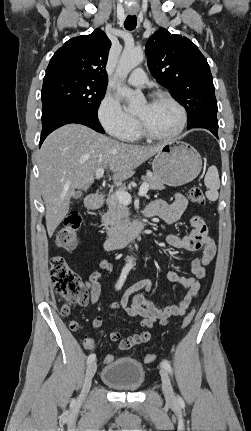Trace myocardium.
<instances>
[{
  "instance_id": "myocardium-1",
  "label": "myocardium",
  "mask_w": 251,
  "mask_h": 431,
  "mask_svg": "<svg viewBox=\"0 0 251 431\" xmlns=\"http://www.w3.org/2000/svg\"><path fill=\"white\" fill-rule=\"evenodd\" d=\"M156 101H166L169 102L171 104H173L179 111L180 113V121L179 124L177 126V128L166 135H159V134H155L153 132H151L143 123V121L136 116V122H137V127H138V131L139 133L145 137L148 138L150 140H155V141H170L173 140L175 138H177L185 129L186 124H187V112L185 107L174 97H172L169 94L166 93H157L155 94L152 99L151 102H156Z\"/></svg>"
}]
</instances>
